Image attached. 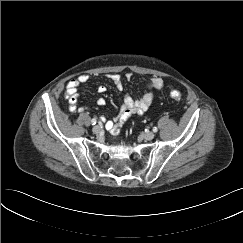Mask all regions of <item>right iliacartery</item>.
<instances>
[{"mask_svg":"<svg viewBox=\"0 0 243 243\" xmlns=\"http://www.w3.org/2000/svg\"><path fill=\"white\" fill-rule=\"evenodd\" d=\"M97 123V119L96 118H93L92 120H91V124L92 125H95Z\"/></svg>","mask_w":243,"mask_h":243,"instance_id":"obj_1","label":"right iliac artery"}]
</instances>
